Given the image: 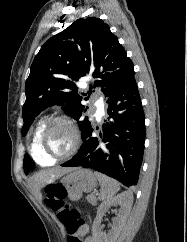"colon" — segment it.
<instances>
[{
	"label": "colon",
	"mask_w": 187,
	"mask_h": 242,
	"mask_svg": "<svg viewBox=\"0 0 187 242\" xmlns=\"http://www.w3.org/2000/svg\"><path fill=\"white\" fill-rule=\"evenodd\" d=\"M65 198L66 189L63 185L52 183L46 186L45 203L65 227L68 233L67 242H83L79 236V230L83 224V220L75 209H70L66 205Z\"/></svg>",
	"instance_id": "5ec220e1"
}]
</instances>
